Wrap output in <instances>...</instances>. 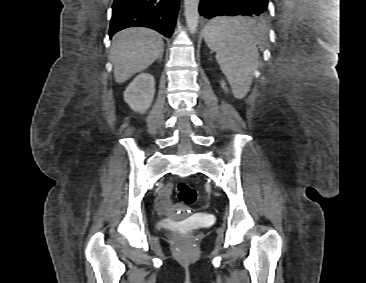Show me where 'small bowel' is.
Segmentation results:
<instances>
[{
	"mask_svg": "<svg viewBox=\"0 0 366 283\" xmlns=\"http://www.w3.org/2000/svg\"><path fill=\"white\" fill-rule=\"evenodd\" d=\"M172 186L171 184H167L161 191H160V199L158 202V206L160 209L165 210L170 206V194H171Z\"/></svg>",
	"mask_w": 366,
	"mask_h": 283,
	"instance_id": "1",
	"label": "small bowel"
}]
</instances>
